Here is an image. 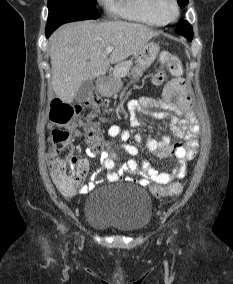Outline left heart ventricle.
Wrapping results in <instances>:
<instances>
[{
  "label": "left heart ventricle",
  "mask_w": 233,
  "mask_h": 284,
  "mask_svg": "<svg viewBox=\"0 0 233 284\" xmlns=\"http://www.w3.org/2000/svg\"><path fill=\"white\" fill-rule=\"evenodd\" d=\"M162 11L166 17H171L174 13L172 5L168 2H165L162 7Z\"/></svg>",
  "instance_id": "obj_1"
}]
</instances>
